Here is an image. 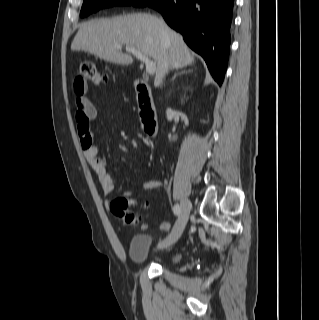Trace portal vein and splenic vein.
<instances>
[{
  "mask_svg": "<svg viewBox=\"0 0 319 320\" xmlns=\"http://www.w3.org/2000/svg\"><path fill=\"white\" fill-rule=\"evenodd\" d=\"M117 49H122V46L116 45ZM126 52L132 53L136 58H138L141 62L145 63L146 65V73L151 75L154 74L156 71V64L151 61L148 56L140 52L139 50L135 49L134 47H126Z\"/></svg>",
  "mask_w": 319,
  "mask_h": 320,
  "instance_id": "18ae733b",
  "label": "portal vein and splenic vein"
}]
</instances>
